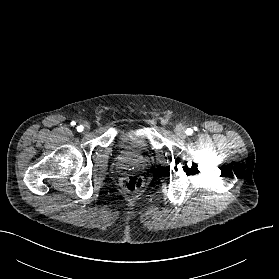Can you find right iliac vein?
<instances>
[{"label":"right iliac vein","mask_w":279,"mask_h":279,"mask_svg":"<svg viewBox=\"0 0 279 279\" xmlns=\"http://www.w3.org/2000/svg\"><path fill=\"white\" fill-rule=\"evenodd\" d=\"M89 129H90V125L88 123H85L84 131H88Z\"/></svg>","instance_id":"right-iliac-vein-1"}]
</instances>
